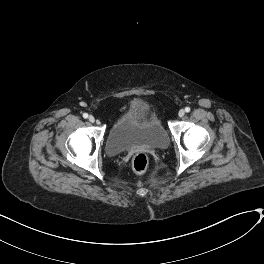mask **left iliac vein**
Wrapping results in <instances>:
<instances>
[{
  "label": "left iliac vein",
  "mask_w": 264,
  "mask_h": 264,
  "mask_svg": "<svg viewBox=\"0 0 264 264\" xmlns=\"http://www.w3.org/2000/svg\"><path fill=\"white\" fill-rule=\"evenodd\" d=\"M184 114H185V111L183 109L179 110V112H178L179 117L184 116Z\"/></svg>",
  "instance_id": "1"
}]
</instances>
